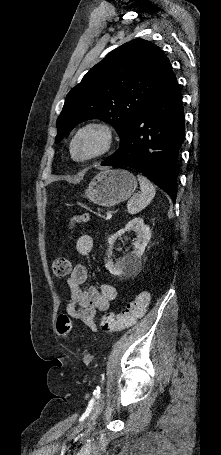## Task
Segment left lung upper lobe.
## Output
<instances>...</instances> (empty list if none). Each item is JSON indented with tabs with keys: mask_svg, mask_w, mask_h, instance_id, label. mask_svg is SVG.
I'll return each instance as SVG.
<instances>
[{
	"mask_svg": "<svg viewBox=\"0 0 221 455\" xmlns=\"http://www.w3.org/2000/svg\"><path fill=\"white\" fill-rule=\"evenodd\" d=\"M172 73L166 55L149 41L134 39L116 48L68 93L57 119L55 143L88 119L111 124L122 141Z\"/></svg>",
	"mask_w": 221,
	"mask_h": 455,
	"instance_id": "5c2ea615",
	"label": "left lung upper lobe"
}]
</instances>
